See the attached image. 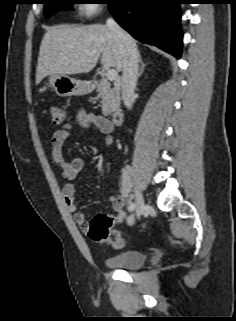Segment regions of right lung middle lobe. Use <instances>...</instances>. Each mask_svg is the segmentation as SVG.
Here are the masks:
<instances>
[{
	"instance_id": "obj_1",
	"label": "right lung middle lobe",
	"mask_w": 236,
	"mask_h": 321,
	"mask_svg": "<svg viewBox=\"0 0 236 321\" xmlns=\"http://www.w3.org/2000/svg\"><path fill=\"white\" fill-rule=\"evenodd\" d=\"M110 0H102L101 3H108ZM72 0H46L44 12L46 17L57 13L62 9H72Z\"/></svg>"
}]
</instances>
